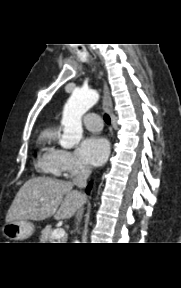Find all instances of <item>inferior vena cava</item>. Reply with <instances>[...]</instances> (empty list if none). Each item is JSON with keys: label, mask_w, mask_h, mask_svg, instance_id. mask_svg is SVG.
I'll return each instance as SVG.
<instances>
[{"label": "inferior vena cava", "mask_w": 181, "mask_h": 288, "mask_svg": "<svg viewBox=\"0 0 181 288\" xmlns=\"http://www.w3.org/2000/svg\"><path fill=\"white\" fill-rule=\"evenodd\" d=\"M91 174V168L87 165H81L80 170L78 171L77 175L73 179V184L77 186L78 188H85L87 186V179ZM83 214V209H80L77 213V223L81 221Z\"/></svg>", "instance_id": "obj_1"}]
</instances>
